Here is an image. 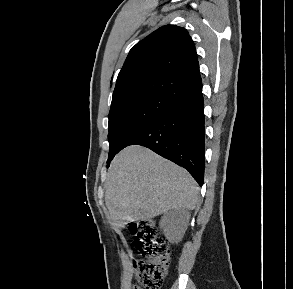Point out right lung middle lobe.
<instances>
[{"label": "right lung middle lobe", "instance_id": "1", "mask_svg": "<svg viewBox=\"0 0 293 289\" xmlns=\"http://www.w3.org/2000/svg\"><path fill=\"white\" fill-rule=\"evenodd\" d=\"M174 105L156 95L133 96L111 105L109 112V160L145 126Z\"/></svg>", "mask_w": 293, "mask_h": 289}]
</instances>
